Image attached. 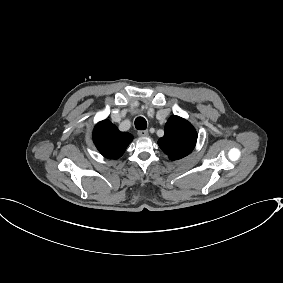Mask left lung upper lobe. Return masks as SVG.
<instances>
[{
	"mask_svg": "<svg viewBox=\"0 0 283 283\" xmlns=\"http://www.w3.org/2000/svg\"><path fill=\"white\" fill-rule=\"evenodd\" d=\"M196 141L197 131L193 125L179 116H172L165 125V134L158 140V145L170 160H178L192 152Z\"/></svg>",
	"mask_w": 283,
	"mask_h": 283,
	"instance_id": "left-lung-upper-lobe-1",
	"label": "left lung upper lobe"
}]
</instances>
